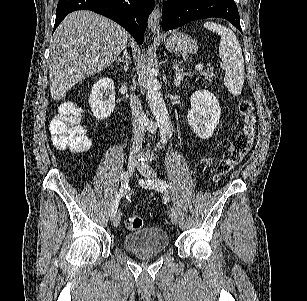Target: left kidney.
<instances>
[{"mask_svg":"<svg viewBox=\"0 0 307 301\" xmlns=\"http://www.w3.org/2000/svg\"><path fill=\"white\" fill-rule=\"evenodd\" d=\"M190 102L187 118L192 130L199 138H211L220 120L221 106L218 98L210 90H195Z\"/></svg>","mask_w":307,"mask_h":301,"instance_id":"obj_1","label":"left kidney"}]
</instances>
